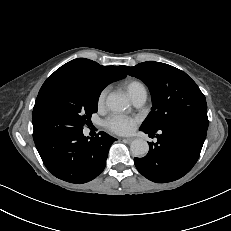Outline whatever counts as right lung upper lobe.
Returning a JSON list of instances; mask_svg holds the SVG:
<instances>
[{"label":"right lung upper lobe","instance_id":"obj_1","mask_svg":"<svg viewBox=\"0 0 231 231\" xmlns=\"http://www.w3.org/2000/svg\"><path fill=\"white\" fill-rule=\"evenodd\" d=\"M77 75L93 76L106 84V86L109 83L122 79L126 76V74L122 71L121 66H101L95 61L78 58L61 66L52 75H50L45 82L65 76Z\"/></svg>","mask_w":231,"mask_h":231}]
</instances>
